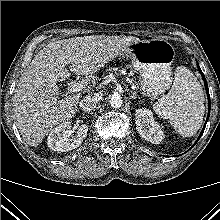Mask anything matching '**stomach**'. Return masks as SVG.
<instances>
[{"label":"stomach","instance_id":"obj_1","mask_svg":"<svg viewBox=\"0 0 220 220\" xmlns=\"http://www.w3.org/2000/svg\"><path fill=\"white\" fill-rule=\"evenodd\" d=\"M123 55L132 60L133 68L139 72L144 94L155 98L170 88L175 51L168 41L139 40L133 42Z\"/></svg>","mask_w":220,"mask_h":220}]
</instances>
